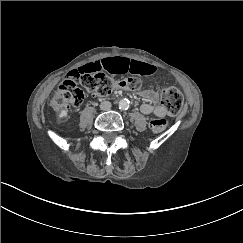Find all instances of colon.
Segmentation results:
<instances>
[{"instance_id":"5ec220e1","label":"colon","mask_w":243,"mask_h":243,"mask_svg":"<svg viewBox=\"0 0 243 243\" xmlns=\"http://www.w3.org/2000/svg\"><path fill=\"white\" fill-rule=\"evenodd\" d=\"M142 82L135 77L115 81L101 72L72 71L58 87L53 96L52 107L59 111L80 106L86 95L108 96L116 89L135 92L140 90ZM161 103L170 115H177L183 107V96L175 87H167L161 93ZM168 126L165 119L151 122L154 132H163Z\"/></svg>"}]
</instances>
